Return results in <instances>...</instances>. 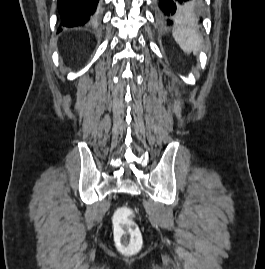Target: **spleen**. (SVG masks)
<instances>
[{"instance_id":"3e777b00","label":"spleen","mask_w":265,"mask_h":269,"mask_svg":"<svg viewBox=\"0 0 265 269\" xmlns=\"http://www.w3.org/2000/svg\"><path fill=\"white\" fill-rule=\"evenodd\" d=\"M173 37L180 48L187 54L197 55L201 48V36L193 28H178L173 31Z\"/></svg>"}]
</instances>
